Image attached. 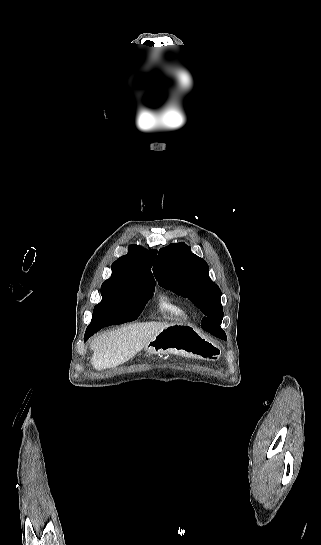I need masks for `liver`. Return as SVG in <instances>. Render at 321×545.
Segmentation results:
<instances>
[{"label": "liver", "mask_w": 321, "mask_h": 545, "mask_svg": "<svg viewBox=\"0 0 321 545\" xmlns=\"http://www.w3.org/2000/svg\"><path fill=\"white\" fill-rule=\"evenodd\" d=\"M168 327L167 323H131L117 331L104 333L90 343L93 351L91 365L96 371L113 369L123 365L153 339L161 329Z\"/></svg>", "instance_id": "1"}]
</instances>
